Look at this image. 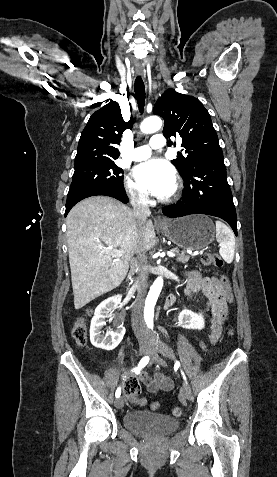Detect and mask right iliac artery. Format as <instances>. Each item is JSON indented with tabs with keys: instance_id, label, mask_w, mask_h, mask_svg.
Instances as JSON below:
<instances>
[{
	"instance_id": "obj_1",
	"label": "right iliac artery",
	"mask_w": 277,
	"mask_h": 477,
	"mask_svg": "<svg viewBox=\"0 0 277 477\" xmlns=\"http://www.w3.org/2000/svg\"><path fill=\"white\" fill-rule=\"evenodd\" d=\"M148 362H149V357H148V356H145L144 358L141 359V361H140L139 364H138V367H136V368L134 369V371H135L136 373H139L140 370H141ZM120 395H121V389L118 388V389L116 390L115 396L118 398Z\"/></svg>"
}]
</instances>
